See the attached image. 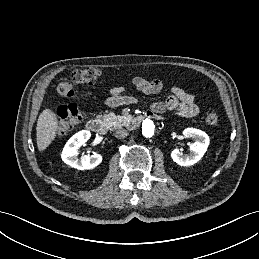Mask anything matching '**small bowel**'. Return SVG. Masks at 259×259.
<instances>
[{
  "label": "small bowel",
  "mask_w": 259,
  "mask_h": 259,
  "mask_svg": "<svg viewBox=\"0 0 259 259\" xmlns=\"http://www.w3.org/2000/svg\"><path fill=\"white\" fill-rule=\"evenodd\" d=\"M133 84L138 91L147 95L158 94L163 88L161 80H147L141 76L134 77ZM136 102L137 99L135 97L125 94L123 87L113 88L110 96L106 99V105L108 107H117ZM150 110L157 118H161V114L166 110H178L179 115L185 118L194 117L199 111L195 103V95L176 86L171 88L170 94L165 101L152 102L150 104Z\"/></svg>",
  "instance_id": "1"
}]
</instances>
